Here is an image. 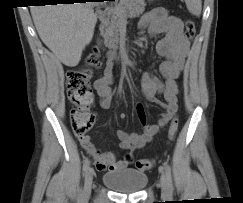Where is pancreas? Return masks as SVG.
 <instances>
[{
	"label": "pancreas",
	"instance_id": "cf45deb5",
	"mask_svg": "<svg viewBox=\"0 0 243 203\" xmlns=\"http://www.w3.org/2000/svg\"><path fill=\"white\" fill-rule=\"evenodd\" d=\"M144 0H121L115 8L110 10L108 19L101 27L105 45L113 50L118 49L120 25L130 17H138L145 10Z\"/></svg>",
	"mask_w": 243,
	"mask_h": 203
}]
</instances>
